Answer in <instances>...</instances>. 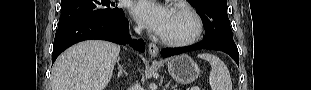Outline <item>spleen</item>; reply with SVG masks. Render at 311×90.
I'll list each match as a JSON object with an SVG mask.
<instances>
[{"instance_id":"3e777b00","label":"spleen","mask_w":311,"mask_h":90,"mask_svg":"<svg viewBox=\"0 0 311 90\" xmlns=\"http://www.w3.org/2000/svg\"><path fill=\"white\" fill-rule=\"evenodd\" d=\"M198 57L208 61L211 65L209 75L211 90H232L230 73L222 60L209 53L199 54Z\"/></svg>"}]
</instances>
